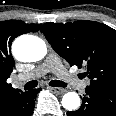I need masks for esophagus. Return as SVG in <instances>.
<instances>
[{"label": "esophagus", "mask_w": 116, "mask_h": 116, "mask_svg": "<svg viewBox=\"0 0 116 116\" xmlns=\"http://www.w3.org/2000/svg\"><path fill=\"white\" fill-rule=\"evenodd\" d=\"M50 90H53L56 93L62 94L66 92V89L59 87H48Z\"/></svg>", "instance_id": "34e87169"}]
</instances>
